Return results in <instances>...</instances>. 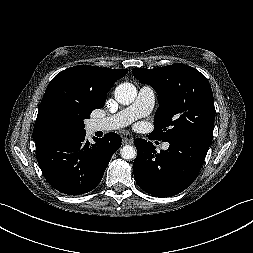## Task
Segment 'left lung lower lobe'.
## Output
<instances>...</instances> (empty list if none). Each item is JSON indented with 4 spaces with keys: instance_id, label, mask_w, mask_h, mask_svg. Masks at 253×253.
Here are the masks:
<instances>
[{
    "instance_id": "left-lung-lower-lobe-1",
    "label": "left lung lower lobe",
    "mask_w": 253,
    "mask_h": 253,
    "mask_svg": "<svg viewBox=\"0 0 253 253\" xmlns=\"http://www.w3.org/2000/svg\"><path fill=\"white\" fill-rule=\"evenodd\" d=\"M212 139L191 136L171 141L166 151L157 153L144 139H135L137 157L133 173L138 186L155 197H170L187 187L197 177Z\"/></svg>"
}]
</instances>
